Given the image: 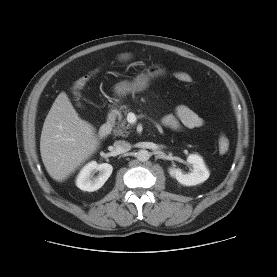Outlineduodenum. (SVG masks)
<instances>
[{"label": "duodenum", "mask_w": 277, "mask_h": 277, "mask_svg": "<svg viewBox=\"0 0 277 277\" xmlns=\"http://www.w3.org/2000/svg\"><path fill=\"white\" fill-rule=\"evenodd\" d=\"M117 116H118V110L117 109L111 110V112L107 117L106 122L99 129V136L101 138H105L112 133Z\"/></svg>", "instance_id": "410a0bca"}]
</instances>
